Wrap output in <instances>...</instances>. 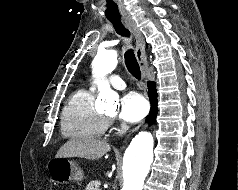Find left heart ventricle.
I'll return each instance as SVG.
<instances>
[{
	"instance_id": "b2bd125f",
	"label": "left heart ventricle",
	"mask_w": 238,
	"mask_h": 190,
	"mask_svg": "<svg viewBox=\"0 0 238 190\" xmlns=\"http://www.w3.org/2000/svg\"><path fill=\"white\" fill-rule=\"evenodd\" d=\"M108 115L113 116L115 114V110H110L107 112Z\"/></svg>"
}]
</instances>
